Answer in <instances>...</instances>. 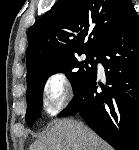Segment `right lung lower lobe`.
I'll use <instances>...</instances> for the list:
<instances>
[{
	"instance_id": "98d812e1",
	"label": "right lung lower lobe",
	"mask_w": 139,
	"mask_h": 150,
	"mask_svg": "<svg viewBox=\"0 0 139 150\" xmlns=\"http://www.w3.org/2000/svg\"><path fill=\"white\" fill-rule=\"evenodd\" d=\"M96 57L105 68L109 86L99 81L96 66L58 116L80 114L116 150H139V18L135 10L106 40Z\"/></svg>"
}]
</instances>
